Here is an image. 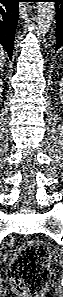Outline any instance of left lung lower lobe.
I'll use <instances>...</instances> for the list:
<instances>
[{
    "label": "left lung lower lobe",
    "mask_w": 63,
    "mask_h": 297,
    "mask_svg": "<svg viewBox=\"0 0 63 297\" xmlns=\"http://www.w3.org/2000/svg\"><path fill=\"white\" fill-rule=\"evenodd\" d=\"M56 2V48L63 46V0H50Z\"/></svg>",
    "instance_id": "1"
}]
</instances>
